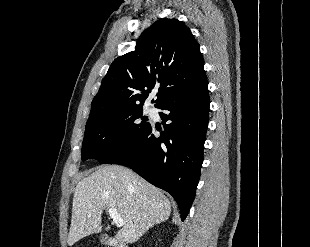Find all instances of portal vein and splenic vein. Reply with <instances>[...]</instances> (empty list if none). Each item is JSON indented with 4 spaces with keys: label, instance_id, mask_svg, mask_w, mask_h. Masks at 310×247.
Masks as SVG:
<instances>
[{
    "label": "portal vein and splenic vein",
    "instance_id": "portal-vein-and-splenic-vein-1",
    "mask_svg": "<svg viewBox=\"0 0 310 247\" xmlns=\"http://www.w3.org/2000/svg\"><path fill=\"white\" fill-rule=\"evenodd\" d=\"M110 218L113 220L117 227H122L124 225V221L122 217L119 215L116 208H110L108 210Z\"/></svg>",
    "mask_w": 310,
    "mask_h": 247
}]
</instances>
